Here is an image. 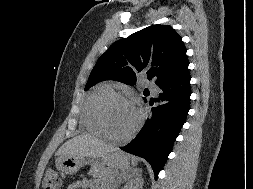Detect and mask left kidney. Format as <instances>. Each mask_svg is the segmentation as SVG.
<instances>
[{
    "label": "left kidney",
    "mask_w": 253,
    "mask_h": 189,
    "mask_svg": "<svg viewBox=\"0 0 253 189\" xmlns=\"http://www.w3.org/2000/svg\"><path fill=\"white\" fill-rule=\"evenodd\" d=\"M143 186V179L142 178H137L134 181H131L128 183L124 189H142Z\"/></svg>",
    "instance_id": "1"
}]
</instances>
